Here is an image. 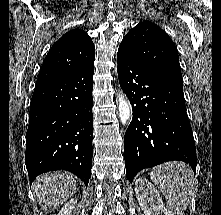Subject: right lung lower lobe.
<instances>
[{"label": "right lung lower lobe", "mask_w": 221, "mask_h": 215, "mask_svg": "<svg viewBox=\"0 0 221 215\" xmlns=\"http://www.w3.org/2000/svg\"><path fill=\"white\" fill-rule=\"evenodd\" d=\"M93 63L64 79L35 87L26 133L30 182L42 173L62 169L87 186L93 155Z\"/></svg>", "instance_id": "1"}]
</instances>
